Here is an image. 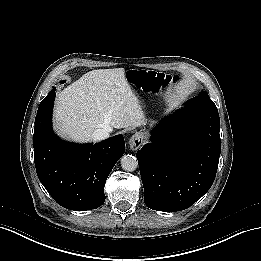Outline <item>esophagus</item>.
<instances>
[{
  "mask_svg": "<svg viewBox=\"0 0 261 261\" xmlns=\"http://www.w3.org/2000/svg\"><path fill=\"white\" fill-rule=\"evenodd\" d=\"M144 144V138L141 133H135L129 139V146L132 150H138Z\"/></svg>",
  "mask_w": 261,
  "mask_h": 261,
  "instance_id": "34e87169",
  "label": "esophagus"
}]
</instances>
